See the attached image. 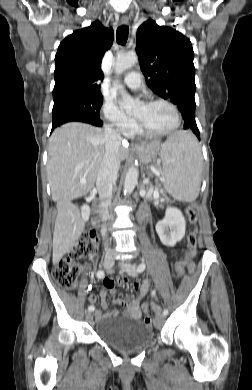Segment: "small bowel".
<instances>
[{
  "label": "small bowel",
  "mask_w": 252,
  "mask_h": 390,
  "mask_svg": "<svg viewBox=\"0 0 252 390\" xmlns=\"http://www.w3.org/2000/svg\"><path fill=\"white\" fill-rule=\"evenodd\" d=\"M181 273V271H178ZM117 282L119 284L127 283V280L124 277H119L117 279ZM139 288V295L129 296L123 299H117L116 303L122 307H124V314L129 317L132 320L139 321L142 317V312L147 311V306H141L140 302L141 299L148 293L149 290V283L147 280L143 281L140 285H138ZM107 290L110 292L111 295L116 294L115 289V281L112 279H107L103 283V288H101L99 292V296L102 299V308L105 310V312H102L100 309L96 310L95 317L97 320H101L106 317H117L121 314V311L116 308H110L109 302L106 300L107 296ZM98 296L96 294H90L88 297V300L90 304L93 306L97 302Z\"/></svg>",
  "instance_id": "small-bowel-1"
}]
</instances>
